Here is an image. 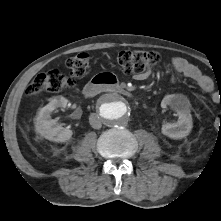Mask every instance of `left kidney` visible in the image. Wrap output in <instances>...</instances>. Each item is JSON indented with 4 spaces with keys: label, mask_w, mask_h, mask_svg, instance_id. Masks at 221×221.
Listing matches in <instances>:
<instances>
[{
    "label": "left kidney",
    "mask_w": 221,
    "mask_h": 221,
    "mask_svg": "<svg viewBox=\"0 0 221 221\" xmlns=\"http://www.w3.org/2000/svg\"><path fill=\"white\" fill-rule=\"evenodd\" d=\"M161 107H170L178 115L175 123L164 122L162 133L171 139H182L188 136L193 128L190 102L185 95L168 94L161 101Z\"/></svg>",
    "instance_id": "obj_1"
}]
</instances>
